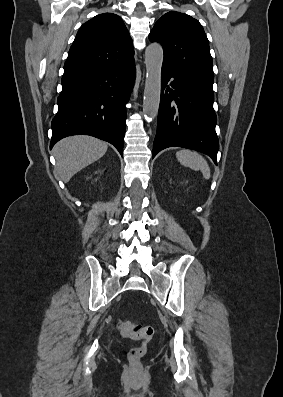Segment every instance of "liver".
Returning a JSON list of instances; mask_svg holds the SVG:
<instances>
[{"label":"liver","mask_w":283,"mask_h":397,"mask_svg":"<svg viewBox=\"0 0 283 397\" xmlns=\"http://www.w3.org/2000/svg\"><path fill=\"white\" fill-rule=\"evenodd\" d=\"M106 142L91 136H71L54 146L56 171L64 182L77 172L100 159L106 153Z\"/></svg>","instance_id":"1"}]
</instances>
